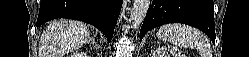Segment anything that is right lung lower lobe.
I'll return each mask as SVG.
<instances>
[{"mask_svg":"<svg viewBox=\"0 0 249 57\" xmlns=\"http://www.w3.org/2000/svg\"><path fill=\"white\" fill-rule=\"evenodd\" d=\"M122 0H41L36 27L56 18H70L94 25L110 42Z\"/></svg>","mask_w":249,"mask_h":57,"instance_id":"98d812e1","label":"right lung lower lobe"}]
</instances>
